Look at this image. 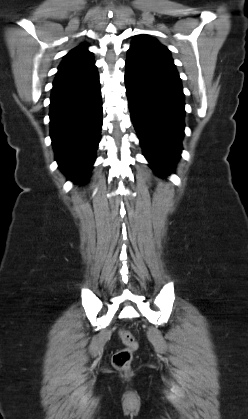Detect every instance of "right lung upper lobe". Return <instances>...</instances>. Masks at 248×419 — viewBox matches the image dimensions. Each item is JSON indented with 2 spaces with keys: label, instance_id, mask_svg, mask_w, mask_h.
Masks as SVG:
<instances>
[{
  "label": "right lung upper lobe",
  "instance_id": "1",
  "mask_svg": "<svg viewBox=\"0 0 248 419\" xmlns=\"http://www.w3.org/2000/svg\"><path fill=\"white\" fill-rule=\"evenodd\" d=\"M93 61L92 53L87 50L85 44L74 48L65 57L58 68L57 75L77 70L83 66L91 64Z\"/></svg>",
  "mask_w": 248,
  "mask_h": 419
}]
</instances>
